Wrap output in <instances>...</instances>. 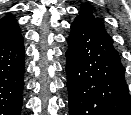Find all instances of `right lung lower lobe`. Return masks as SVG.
<instances>
[{"mask_svg":"<svg viewBox=\"0 0 131 115\" xmlns=\"http://www.w3.org/2000/svg\"><path fill=\"white\" fill-rule=\"evenodd\" d=\"M23 37L0 46V115H20L24 86Z\"/></svg>","mask_w":131,"mask_h":115,"instance_id":"obj_1","label":"right lung lower lobe"}]
</instances>
